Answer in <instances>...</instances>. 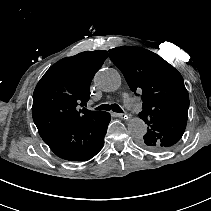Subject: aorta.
Wrapping results in <instances>:
<instances>
[{
  "label": "aorta",
  "instance_id": "1",
  "mask_svg": "<svg viewBox=\"0 0 211 211\" xmlns=\"http://www.w3.org/2000/svg\"><path fill=\"white\" fill-rule=\"evenodd\" d=\"M94 83L103 91L113 92L121 86V76L114 69H102L96 73ZM128 130L132 136L139 138L146 133L147 126L141 118L135 117L129 119Z\"/></svg>",
  "mask_w": 211,
  "mask_h": 211
}]
</instances>
